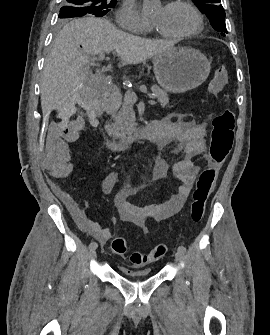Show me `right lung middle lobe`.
<instances>
[{
  "instance_id": "right-lung-middle-lobe-1",
  "label": "right lung middle lobe",
  "mask_w": 270,
  "mask_h": 335,
  "mask_svg": "<svg viewBox=\"0 0 270 335\" xmlns=\"http://www.w3.org/2000/svg\"><path fill=\"white\" fill-rule=\"evenodd\" d=\"M116 0H64V6L60 8L58 18H76L87 14L102 17L115 5Z\"/></svg>"
}]
</instances>
